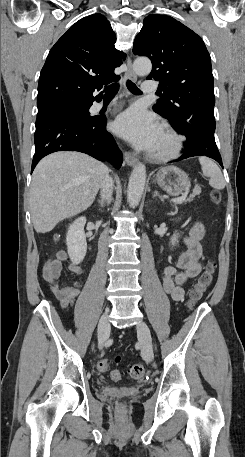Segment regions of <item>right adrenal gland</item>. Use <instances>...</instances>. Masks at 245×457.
Masks as SVG:
<instances>
[{
  "instance_id": "1",
  "label": "right adrenal gland",
  "mask_w": 245,
  "mask_h": 457,
  "mask_svg": "<svg viewBox=\"0 0 245 457\" xmlns=\"http://www.w3.org/2000/svg\"><path fill=\"white\" fill-rule=\"evenodd\" d=\"M110 200H107V202H103V200H99V206H106V204H109Z\"/></svg>"
}]
</instances>
